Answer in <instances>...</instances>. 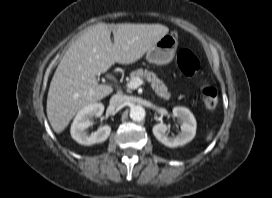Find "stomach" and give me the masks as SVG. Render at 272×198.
Masks as SVG:
<instances>
[{"instance_id":"obj_1","label":"stomach","mask_w":272,"mask_h":198,"mask_svg":"<svg viewBox=\"0 0 272 198\" xmlns=\"http://www.w3.org/2000/svg\"><path fill=\"white\" fill-rule=\"evenodd\" d=\"M178 46V41L172 34L163 36L150 50L147 51L146 59L149 63L165 65L170 63Z\"/></svg>"}]
</instances>
